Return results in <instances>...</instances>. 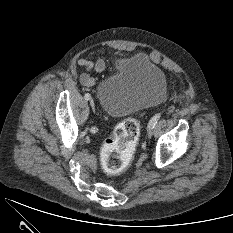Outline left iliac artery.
I'll return each instance as SVG.
<instances>
[{
	"instance_id": "obj_1",
	"label": "left iliac artery",
	"mask_w": 233,
	"mask_h": 233,
	"mask_svg": "<svg viewBox=\"0 0 233 233\" xmlns=\"http://www.w3.org/2000/svg\"><path fill=\"white\" fill-rule=\"evenodd\" d=\"M160 117H161L160 113L153 116L151 120L149 121L148 127L154 128Z\"/></svg>"
}]
</instances>
